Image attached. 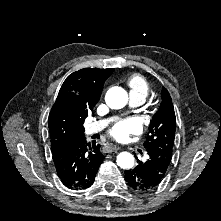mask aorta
Masks as SVG:
<instances>
[{"label":"aorta","mask_w":221,"mask_h":221,"mask_svg":"<svg viewBox=\"0 0 221 221\" xmlns=\"http://www.w3.org/2000/svg\"><path fill=\"white\" fill-rule=\"evenodd\" d=\"M105 101L111 109H121L128 102V94L121 87H112L107 91ZM116 162L123 169H131L134 166V157L129 152H121Z\"/></svg>","instance_id":"1"}]
</instances>
